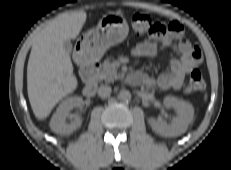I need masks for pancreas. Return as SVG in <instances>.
I'll return each mask as SVG.
<instances>
[{
	"label": "pancreas",
	"instance_id": "1",
	"mask_svg": "<svg viewBox=\"0 0 231 170\" xmlns=\"http://www.w3.org/2000/svg\"><path fill=\"white\" fill-rule=\"evenodd\" d=\"M99 80H105L106 82H113L120 76L117 73V69L110 63L109 60L104 61L102 70L97 74Z\"/></svg>",
	"mask_w": 231,
	"mask_h": 170
}]
</instances>
